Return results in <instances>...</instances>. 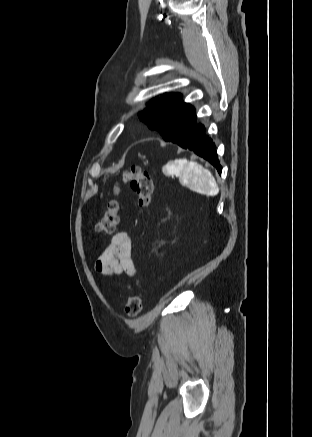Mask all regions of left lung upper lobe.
<instances>
[{
  "label": "left lung upper lobe",
  "mask_w": 312,
  "mask_h": 437,
  "mask_svg": "<svg viewBox=\"0 0 312 437\" xmlns=\"http://www.w3.org/2000/svg\"><path fill=\"white\" fill-rule=\"evenodd\" d=\"M138 116L170 142L182 137L196 122L194 107L181 101L179 93L163 94L152 99Z\"/></svg>",
  "instance_id": "1"
}]
</instances>
